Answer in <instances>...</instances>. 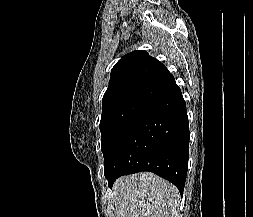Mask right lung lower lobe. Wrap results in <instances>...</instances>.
I'll list each match as a JSON object with an SVG mask.
<instances>
[{
	"mask_svg": "<svg viewBox=\"0 0 253 217\" xmlns=\"http://www.w3.org/2000/svg\"><path fill=\"white\" fill-rule=\"evenodd\" d=\"M188 158L186 103L175 83L152 100L126 129L104 173L112 187L122 175L150 171L172 182L182 194Z\"/></svg>",
	"mask_w": 253,
	"mask_h": 217,
	"instance_id": "1",
	"label": "right lung lower lobe"
}]
</instances>
